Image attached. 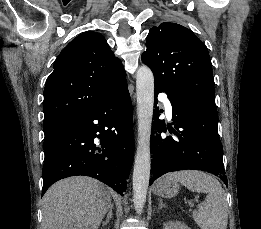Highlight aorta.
<instances>
[{"instance_id": "1", "label": "aorta", "mask_w": 261, "mask_h": 229, "mask_svg": "<svg viewBox=\"0 0 261 229\" xmlns=\"http://www.w3.org/2000/svg\"><path fill=\"white\" fill-rule=\"evenodd\" d=\"M138 147L133 169V203L136 213H143L150 179V139L154 106V76L148 66L136 72Z\"/></svg>"}]
</instances>
